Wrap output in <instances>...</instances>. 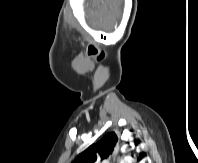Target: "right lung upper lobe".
Listing matches in <instances>:
<instances>
[{
  "instance_id": "obj_1",
  "label": "right lung upper lobe",
  "mask_w": 198,
  "mask_h": 163,
  "mask_svg": "<svg viewBox=\"0 0 198 163\" xmlns=\"http://www.w3.org/2000/svg\"><path fill=\"white\" fill-rule=\"evenodd\" d=\"M117 141L115 132H110L80 153L72 163H102L112 154Z\"/></svg>"
}]
</instances>
